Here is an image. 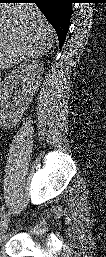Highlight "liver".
<instances>
[{"mask_svg":"<svg viewBox=\"0 0 106 257\" xmlns=\"http://www.w3.org/2000/svg\"><path fill=\"white\" fill-rule=\"evenodd\" d=\"M53 29L33 3L0 5V69L42 57L53 44Z\"/></svg>","mask_w":106,"mask_h":257,"instance_id":"obj_1","label":"liver"}]
</instances>
